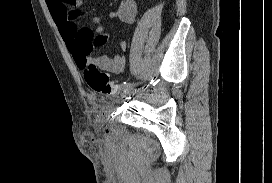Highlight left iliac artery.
I'll use <instances>...</instances> for the list:
<instances>
[{"label": "left iliac artery", "mask_w": 272, "mask_h": 183, "mask_svg": "<svg viewBox=\"0 0 272 183\" xmlns=\"http://www.w3.org/2000/svg\"><path fill=\"white\" fill-rule=\"evenodd\" d=\"M136 85H138V83L134 84V83H126V82H124V83L121 85V88H120V89H121L123 92H126L128 89L133 88V87L136 86Z\"/></svg>", "instance_id": "left-iliac-artery-1"}]
</instances>
